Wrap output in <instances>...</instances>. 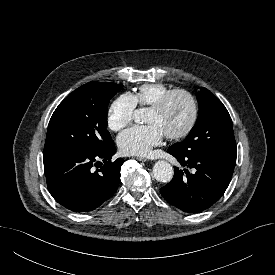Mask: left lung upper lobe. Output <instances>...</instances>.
Segmentation results:
<instances>
[{
	"label": "left lung upper lobe",
	"mask_w": 275,
	"mask_h": 275,
	"mask_svg": "<svg viewBox=\"0 0 275 275\" xmlns=\"http://www.w3.org/2000/svg\"><path fill=\"white\" fill-rule=\"evenodd\" d=\"M196 96L199 105L196 124L183 142L171 147L179 153L208 150L236 155L232 120L225 106L206 88Z\"/></svg>",
	"instance_id": "obj_1"
}]
</instances>
